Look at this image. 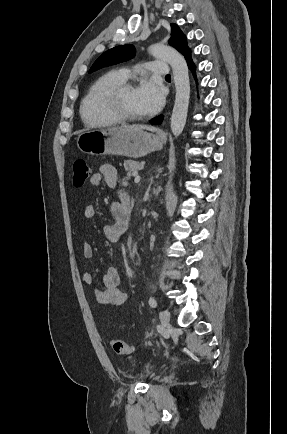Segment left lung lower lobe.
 Wrapping results in <instances>:
<instances>
[{
	"mask_svg": "<svg viewBox=\"0 0 287 434\" xmlns=\"http://www.w3.org/2000/svg\"><path fill=\"white\" fill-rule=\"evenodd\" d=\"M186 60H187L189 68L191 70H193L195 66H194V64L192 62V59L190 57H188V58H186ZM162 120H163V115H160V116L152 119L150 122L153 123V124H160L162 122Z\"/></svg>",
	"mask_w": 287,
	"mask_h": 434,
	"instance_id": "1",
	"label": "left lung lower lobe"
}]
</instances>
